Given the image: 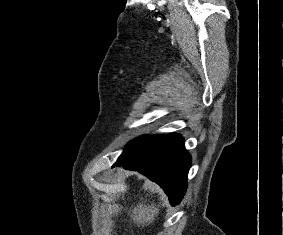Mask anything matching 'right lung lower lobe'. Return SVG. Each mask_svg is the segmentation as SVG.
I'll list each match as a JSON object with an SVG mask.
<instances>
[{
    "label": "right lung lower lobe",
    "instance_id": "1",
    "mask_svg": "<svg viewBox=\"0 0 283 235\" xmlns=\"http://www.w3.org/2000/svg\"><path fill=\"white\" fill-rule=\"evenodd\" d=\"M127 170L138 171L159 184L175 206L180 203L187 187L191 156L179 134H169L144 155L131 161L116 163Z\"/></svg>",
    "mask_w": 283,
    "mask_h": 235
}]
</instances>
